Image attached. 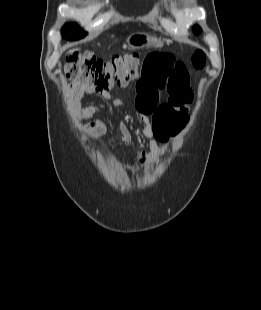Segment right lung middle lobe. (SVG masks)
Returning a JSON list of instances; mask_svg holds the SVG:
<instances>
[{"instance_id": "1", "label": "right lung middle lobe", "mask_w": 261, "mask_h": 310, "mask_svg": "<svg viewBox=\"0 0 261 310\" xmlns=\"http://www.w3.org/2000/svg\"><path fill=\"white\" fill-rule=\"evenodd\" d=\"M63 37L68 40H77L86 36V32L80 29L77 24H65L62 28Z\"/></svg>"}]
</instances>
